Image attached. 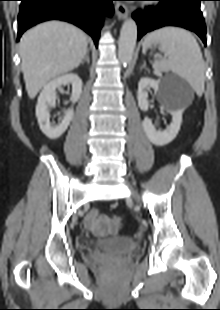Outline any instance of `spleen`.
<instances>
[{
  "mask_svg": "<svg viewBox=\"0 0 220 310\" xmlns=\"http://www.w3.org/2000/svg\"><path fill=\"white\" fill-rule=\"evenodd\" d=\"M159 43L167 58L157 60L153 68L157 71H172L184 78L198 95L204 92L205 67L201 49L195 37L179 27H164L149 33L143 43V52Z\"/></svg>",
  "mask_w": 220,
  "mask_h": 310,
  "instance_id": "obj_1",
  "label": "spleen"
}]
</instances>
